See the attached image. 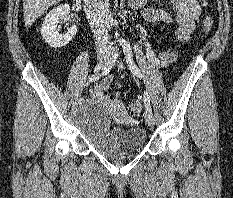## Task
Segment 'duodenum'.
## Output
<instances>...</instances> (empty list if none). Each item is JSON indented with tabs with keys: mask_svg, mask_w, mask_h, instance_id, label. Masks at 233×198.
Masks as SVG:
<instances>
[{
	"mask_svg": "<svg viewBox=\"0 0 233 198\" xmlns=\"http://www.w3.org/2000/svg\"><path fill=\"white\" fill-rule=\"evenodd\" d=\"M143 3V0H129V4L132 7H138Z\"/></svg>",
	"mask_w": 233,
	"mask_h": 198,
	"instance_id": "1",
	"label": "duodenum"
}]
</instances>
